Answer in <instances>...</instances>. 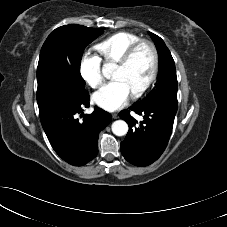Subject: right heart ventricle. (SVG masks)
Here are the masks:
<instances>
[{
  "instance_id": "1",
  "label": "right heart ventricle",
  "mask_w": 227,
  "mask_h": 227,
  "mask_svg": "<svg viewBox=\"0 0 227 227\" xmlns=\"http://www.w3.org/2000/svg\"><path fill=\"white\" fill-rule=\"evenodd\" d=\"M138 40L140 37L137 34L121 31L99 42L95 49L105 62H117L125 51Z\"/></svg>"
}]
</instances>
